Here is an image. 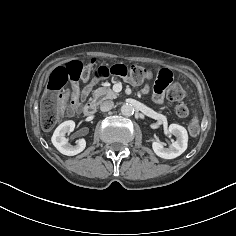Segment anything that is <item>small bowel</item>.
Wrapping results in <instances>:
<instances>
[{
    "label": "small bowel",
    "instance_id": "c3829d8e",
    "mask_svg": "<svg viewBox=\"0 0 236 236\" xmlns=\"http://www.w3.org/2000/svg\"><path fill=\"white\" fill-rule=\"evenodd\" d=\"M93 87V83H87L83 89L80 91L76 86L73 88L72 97L78 99H85ZM153 99L156 103H162L164 96L163 93L154 91Z\"/></svg>",
    "mask_w": 236,
    "mask_h": 236
}]
</instances>
